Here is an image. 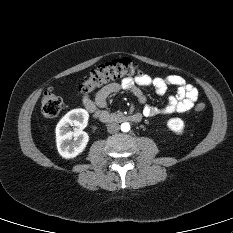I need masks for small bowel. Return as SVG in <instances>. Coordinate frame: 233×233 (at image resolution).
<instances>
[{
  "mask_svg": "<svg viewBox=\"0 0 233 233\" xmlns=\"http://www.w3.org/2000/svg\"><path fill=\"white\" fill-rule=\"evenodd\" d=\"M169 86H175L177 92L169 97L166 106L157 107L147 103L142 88L152 87L157 94L163 95ZM121 90L130 92L137 98L143 106L142 113L146 117L185 113L194 106L199 96L198 90L193 85L186 83L184 78L179 75L153 78L147 74H141L135 78H125L120 83H110L102 87L96 93L94 99L85 95L82 98V103L87 111L100 119L102 115L109 114L107 109L108 98Z\"/></svg>",
  "mask_w": 233,
  "mask_h": 233,
  "instance_id": "1",
  "label": "small bowel"
}]
</instances>
